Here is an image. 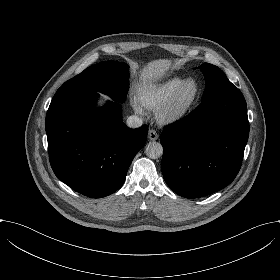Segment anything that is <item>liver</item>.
<instances>
[{
  "mask_svg": "<svg viewBox=\"0 0 280 280\" xmlns=\"http://www.w3.org/2000/svg\"><path fill=\"white\" fill-rule=\"evenodd\" d=\"M170 61L167 59H159L151 61L141 71V79H158L161 78L169 69Z\"/></svg>",
  "mask_w": 280,
  "mask_h": 280,
  "instance_id": "obj_1",
  "label": "liver"
}]
</instances>
